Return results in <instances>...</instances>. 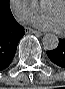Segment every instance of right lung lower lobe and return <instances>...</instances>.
<instances>
[{
  "label": "right lung lower lobe",
  "instance_id": "1",
  "mask_svg": "<svg viewBox=\"0 0 65 89\" xmlns=\"http://www.w3.org/2000/svg\"><path fill=\"white\" fill-rule=\"evenodd\" d=\"M24 34V28L16 22L12 13L0 9V71L11 64Z\"/></svg>",
  "mask_w": 65,
  "mask_h": 89
}]
</instances>
